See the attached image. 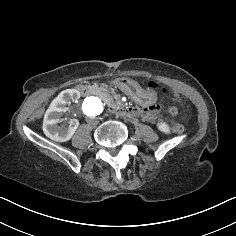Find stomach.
<instances>
[{
    "label": "stomach",
    "mask_w": 236,
    "mask_h": 236,
    "mask_svg": "<svg viewBox=\"0 0 236 236\" xmlns=\"http://www.w3.org/2000/svg\"><path fill=\"white\" fill-rule=\"evenodd\" d=\"M115 86L117 90L124 93L138 105L145 106L155 102L157 99V94L155 91L144 90L141 84L133 78L126 79L121 77L117 79Z\"/></svg>",
    "instance_id": "0dacf381"
}]
</instances>
